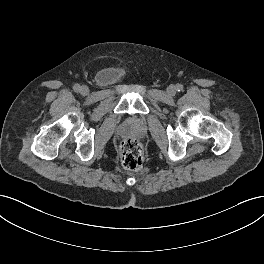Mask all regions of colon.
Segmentation results:
<instances>
[{"instance_id": "colon-1", "label": "colon", "mask_w": 264, "mask_h": 264, "mask_svg": "<svg viewBox=\"0 0 264 264\" xmlns=\"http://www.w3.org/2000/svg\"><path fill=\"white\" fill-rule=\"evenodd\" d=\"M119 152L123 166L128 170H139L144 161V152L141 143L135 138L124 139Z\"/></svg>"}]
</instances>
